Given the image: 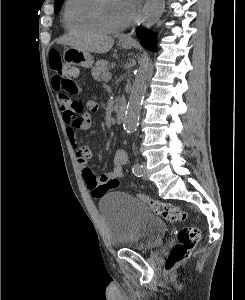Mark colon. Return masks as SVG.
I'll list each match as a JSON object with an SVG mask.
<instances>
[{
  "label": "colon",
  "mask_w": 245,
  "mask_h": 300,
  "mask_svg": "<svg viewBox=\"0 0 245 300\" xmlns=\"http://www.w3.org/2000/svg\"><path fill=\"white\" fill-rule=\"evenodd\" d=\"M49 65L64 89L69 92H74L77 89L78 83L76 82V78L78 76V70L74 66L64 63L58 51H52L50 53ZM74 106L80 109L83 107V102L75 101ZM139 197L148 204L153 213L169 222H184L188 218L185 211L173 204L152 199L144 195H139ZM199 239L200 232L197 228L192 226L182 228L178 234V242L173 247L167 259L165 269L170 271L184 261L195 248Z\"/></svg>",
  "instance_id": "1"
}]
</instances>
